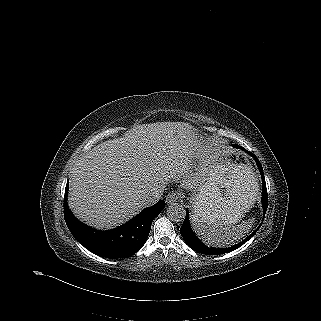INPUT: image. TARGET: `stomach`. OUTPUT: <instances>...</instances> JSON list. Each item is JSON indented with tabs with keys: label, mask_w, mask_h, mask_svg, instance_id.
<instances>
[{
	"label": "stomach",
	"mask_w": 321,
	"mask_h": 321,
	"mask_svg": "<svg viewBox=\"0 0 321 321\" xmlns=\"http://www.w3.org/2000/svg\"><path fill=\"white\" fill-rule=\"evenodd\" d=\"M195 135L204 145H211L207 133L195 129ZM258 187L252 166L243 163L240 154L213 155L206 181L191 198L192 219L216 215L225 224H235L254 204Z\"/></svg>",
	"instance_id": "0dacf381"
}]
</instances>
